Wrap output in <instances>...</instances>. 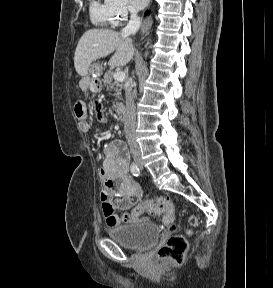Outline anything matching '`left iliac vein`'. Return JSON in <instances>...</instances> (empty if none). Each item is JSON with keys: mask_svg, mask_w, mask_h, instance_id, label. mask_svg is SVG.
<instances>
[{"mask_svg": "<svg viewBox=\"0 0 273 288\" xmlns=\"http://www.w3.org/2000/svg\"><path fill=\"white\" fill-rule=\"evenodd\" d=\"M139 166H140V168H141V169L143 168V165H142V163H140V164H139Z\"/></svg>", "mask_w": 273, "mask_h": 288, "instance_id": "obj_1", "label": "left iliac vein"}]
</instances>
